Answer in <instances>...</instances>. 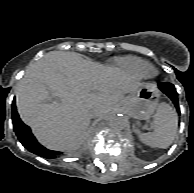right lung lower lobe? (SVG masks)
I'll list each match as a JSON object with an SVG mask.
<instances>
[{"label": "right lung lower lobe", "mask_w": 194, "mask_h": 193, "mask_svg": "<svg viewBox=\"0 0 194 193\" xmlns=\"http://www.w3.org/2000/svg\"><path fill=\"white\" fill-rule=\"evenodd\" d=\"M12 121L14 131L19 141L30 152L44 158H56L58 155L61 154L60 152L48 150L37 142V140L31 133L30 128L25 125L19 118V115L16 111L15 100L12 103Z\"/></svg>", "instance_id": "1"}]
</instances>
